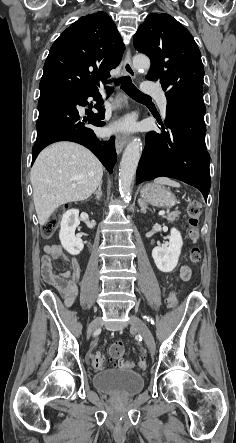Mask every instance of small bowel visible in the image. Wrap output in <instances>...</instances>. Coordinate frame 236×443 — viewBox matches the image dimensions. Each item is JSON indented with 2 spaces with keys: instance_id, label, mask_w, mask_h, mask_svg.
I'll use <instances>...</instances> for the list:
<instances>
[{
  "instance_id": "small-bowel-1",
  "label": "small bowel",
  "mask_w": 236,
  "mask_h": 443,
  "mask_svg": "<svg viewBox=\"0 0 236 443\" xmlns=\"http://www.w3.org/2000/svg\"><path fill=\"white\" fill-rule=\"evenodd\" d=\"M66 265L67 270L56 272L53 270V261ZM42 274L45 282L53 287L63 298L67 306L73 304L78 294L80 267L77 260L65 254L59 246L48 245L44 248L42 257ZM191 277V269L182 265L176 275L180 281H187Z\"/></svg>"
}]
</instances>
